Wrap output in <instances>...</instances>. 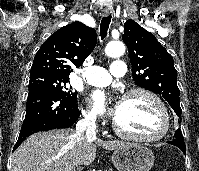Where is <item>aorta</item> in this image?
<instances>
[{
  "label": "aorta",
  "instance_id": "aorta-1",
  "mask_svg": "<svg viewBox=\"0 0 199 171\" xmlns=\"http://www.w3.org/2000/svg\"><path fill=\"white\" fill-rule=\"evenodd\" d=\"M125 52V46L122 42L112 41L107 44L105 48V53L109 57H120Z\"/></svg>",
  "mask_w": 199,
  "mask_h": 171
}]
</instances>
